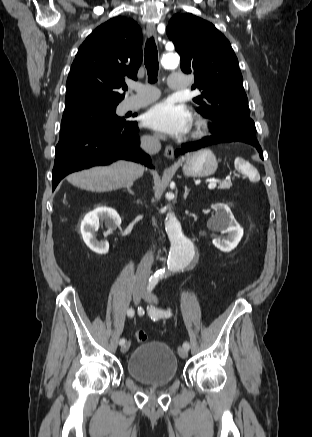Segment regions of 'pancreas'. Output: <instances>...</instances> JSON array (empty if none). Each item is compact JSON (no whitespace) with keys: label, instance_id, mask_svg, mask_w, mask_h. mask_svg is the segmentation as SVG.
Wrapping results in <instances>:
<instances>
[{"label":"pancreas","instance_id":"1","mask_svg":"<svg viewBox=\"0 0 312 437\" xmlns=\"http://www.w3.org/2000/svg\"><path fill=\"white\" fill-rule=\"evenodd\" d=\"M232 186V182L231 181H224L219 185V189H230Z\"/></svg>","mask_w":312,"mask_h":437}]
</instances>
